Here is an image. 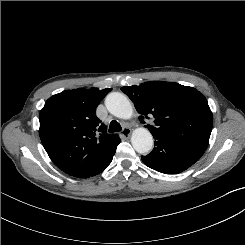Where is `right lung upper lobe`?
I'll list each match as a JSON object with an SVG mask.
<instances>
[{
    "label": "right lung upper lobe",
    "mask_w": 245,
    "mask_h": 245,
    "mask_svg": "<svg viewBox=\"0 0 245 245\" xmlns=\"http://www.w3.org/2000/svg\"><path fill=\"white\" fill-rule=\"evenodd\" d=\"M111 90H66L49 98L40 111L41 142L50 159L68 175L95 176L114 155L121 140L117 134H108L95 115Z\"/></svg>",
    "instance_id": "cb5924a9"
}]
</instances>
